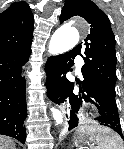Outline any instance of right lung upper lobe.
Wrapping results in <instances>:
<instances>
[{
    "label": "right lung upper lobe",
    "instance_id": "obj_1",
    "mask_svg": "<svg viewBox=\"0 0 124 149\" xmlns=\"http://www.w3.org/2000/svg\"><path fill=\"white\" fill-rule=\"evenodd\" d=\"M34 18L25 2L0 13V51L22 49L32 43Z\"/></svg>",
    "mask_w": 124,
    "mask_h": 149
}]
</instances>
